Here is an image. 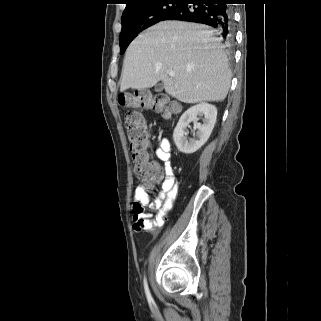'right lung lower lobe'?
Instances as JSON below:
<instances>
[{"instance_id":"obj_1","label":"right lung lower lobe","mask_w":321,"mask_h":321,"mask_svg":"<svg viewBox=\"0 0 321 321\" xmlns=\"http://www.w3.org/2000/svg\"><path fill=\"white\" fill-rule=\"evenodd\" d=\"M233 0H183L181 5L163 17V20H181L202 23L216 28L227 42L233 39Z\"/></svg>"}]
</instances>
